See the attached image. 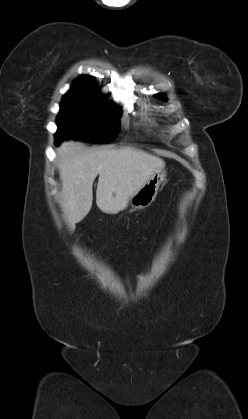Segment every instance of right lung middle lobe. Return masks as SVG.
<instances>
[{
    "instance_id": "dd1d6c3e",
    "label": "right lung middle lobe",
    "mask_w": 248,
    "mask_h": 419,
    "mask_svg": "<svg viewBox=\"0 0 248 419\" xmlns=\"http://www.w3.org/2000/svg\"><path fill=\"white\" fill-rule=\"evenodd\" d=\"M121 114V108L113 103L65 95L57 116L55 143L69 138L110 142L120 130Z\"/></svg>"
}]
</instances>
